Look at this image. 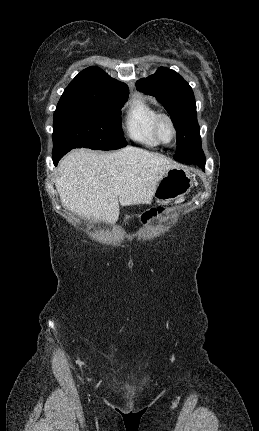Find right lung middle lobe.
<instances>
[{"mask_svg": "<svg viewBox=\"0 0 259 431\" xmlns=\"http://www.w3.org/2000/svg\"><path fill=\"white\" fill-rule=\"evenodd\" d=\"M128 93L97 97L62 95L54 112L53 151L73 148L113 150L126 146L121 111Z\"/></svg>", "mask_w": 259, "mask_h": 431, "instance_id": "right-lung-middle-lobe-1", "label": "right lung middle lobe"}]
</instances>
